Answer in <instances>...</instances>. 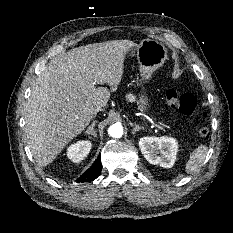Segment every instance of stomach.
Here are the masks:
<instances>
[{
	"mask_svg": "<svg viewBox=\"0 0 233 233\" xmlns=\"http://www.w3.org/2000/svg\"><path fill=\"white\" fill-rule=\"evenodd\" d=\"M131 55H136L140 77L143 82H147L153 72L160 68L167 59V49L163 43L154 39H144L135 47L128 51ZM139 108L147 110L149 99L144 91L139 95Z\"/></svg>",
	"mask_w": 233,
	"mask_h": 233,
	"instance_id": "stomach-1",
	"label": "stomach"
}]
</instances>
